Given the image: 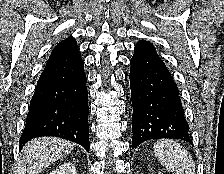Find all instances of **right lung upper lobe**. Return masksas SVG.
Segmentation results:
<instances>
[{
    "label": "right lung upper lobe",
    "mask_w": 224,
    "mask_h": 174,
    "mask_svg": "<svg viewBox=\"0 0 224 174\" xmlns=\"http://www.w3.org/2000/svg\"><path fill=\"white\" fill-rule=\"evenodd\" d=\"M77 52H79L77 43L75 39L72 36H70L69 38H66L65 40L57 44V46L51 52L48 61L60 59L75 54Z\"/></svg>",
    "instance_id": "right-lung-upper-lobe-1"
}]
</instances>
